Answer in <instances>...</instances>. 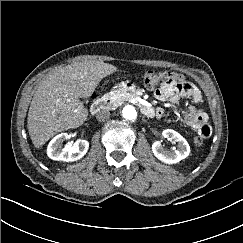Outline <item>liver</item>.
Instances as JSON below:
<instances>
[{
    "label": "liver",
    "instance_id": "obj_1",
    "mask_svg": "<svg viewBox=\"0 0 243 243\" xmlns=\"http://www.w3.org/2000/svg\"><path fill=\"white\" fill-rule=\"evenodd\" d=\"M117 67L102 61L74 62L49 73L35 91L27 127L33 145L42 147L55 134L81 126L88 110L79 98L92 95L99 82Z\"/></svg>",
    "mask_w": 243,
    "mask_h": 243
}]
</instances>
